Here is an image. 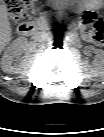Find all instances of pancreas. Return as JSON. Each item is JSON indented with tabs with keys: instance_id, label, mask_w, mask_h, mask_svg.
I'll return each instance as SVG.
<instances>
[{
	"instance_id": "cf45deb5",
	"label": "pancreas",
	"mask_w": 104,
	"mask_h": 137,
	"mask_svg": "<svg viewBox=\"0 0 104 137\" xmlns=\"http://www.w3.org/2000/svg\"><path fill=\"white\" fill-rule=\"evenodd\" d=\"M34 24L39 28H44L49 25L48 19L46 17H40L34 21Z\"/></svg>"
}]
</instances>
